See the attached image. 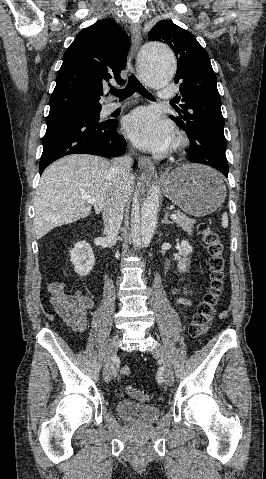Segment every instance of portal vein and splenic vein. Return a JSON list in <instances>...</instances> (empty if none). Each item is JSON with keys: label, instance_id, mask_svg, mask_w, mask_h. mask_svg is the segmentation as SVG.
Returning a JSON list of instances; mask_svg holds the SVG:
<instances>
[{"label": "portal vein and splenic vein", "instance_id": "18ae733b", "mask_svg": "<svg viewBox=\"0 0 266 479\" xmlns=\"http://www.w3.org/2000/svg\"><path fill=\"white\" fill-rule=\"evenodd\" d=\"M82 198H83L84 200H86L87 203H89V204H94V203H96V199L93 198V197H91V196L82 195ZM170 218H171L172 220H175V219H177V215H176V214H172V215L170 216Z\"/></svg>", "mask_w": 266, "mask_h": 479}]
</instances>
